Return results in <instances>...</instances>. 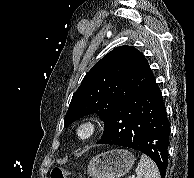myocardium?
<instances>
[{"instance_id": "1", "label": "myocardium", "mask_w": 194, "mask_h": 178, "mask_svg": "<svg viewBox=\"0 0 194 178\" xmlns=\"http://www.w3.org/2000/svg\"><path fill=\"white\" fill-rule=\"evenodd\" d=\"M100 132V126L93 119H85L81 121L75 131L78 140L88 142L95 139Z\"/></svg>"}]
</instances>
